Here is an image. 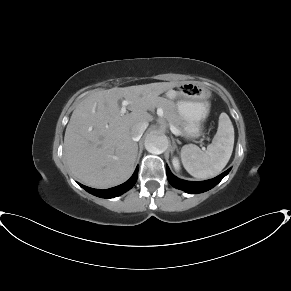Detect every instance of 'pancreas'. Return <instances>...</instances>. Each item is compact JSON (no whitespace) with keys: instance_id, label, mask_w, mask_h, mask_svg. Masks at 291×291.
I'll return each instance as SVG.
<instances>
[{"instance_id":"obj_1","label":"pancreas","mask_w":291,"mask_h":291,"mask_svg":"<svg viewBox=\"0 0 291 291\" xmlns=\"http://www.w3.org/2000/svg\"><path fill=\"white\" fill-rule=\"evenodd\" d=\"M155 107H161L163 109L164 118L172 125H174L179 131L182 130V120L177 115L176 104L164 97H158L154 104Z\"/></svg>"}]
</instances>
